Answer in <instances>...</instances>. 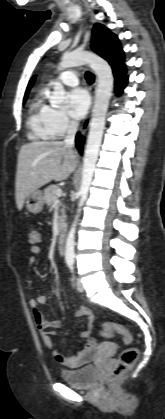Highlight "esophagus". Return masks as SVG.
Returning a JSON list of instances; mask_svg holds the SVG:
<instances>
[{
	"instance_id": "1",
	"label": "esophagus",
	"mask_w": 165,
	"mask_h": 419,
	"mask_svg": "<svg viewBox=\"0 0 165 419\" xmlns=\"http://www.w3.org/2000/svg\"><path fill=\"white\" fill-rule=\"evenodd\" d=\"M96 87H97V80H95V82H94V84L92 85V88H91L92 98L94 96ZM90 119H91V111L88 113V115L86 116V118L84 119V121L82 122V124L79 128V133L80 134H82V135L86 134V132L88 130V127H89V124H90Z\"/></svg>"
}]
</instances>
